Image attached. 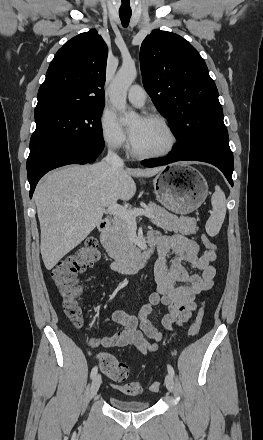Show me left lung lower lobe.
Listing matches in <instances>:
<instances>
[{"label": "left lung lower lobe", "instance_id": "obj_1", "mask_svg": "<svg viewBox=\"0 0 263 440\" xmlns=\"http://www.w3.org/2000/svg\"><path fill=\"white\" fill-rule=\"evenodd\" d=\"M176 161H202L210 163L219 168L231 186H233L232 173L234 168L233 154L229 145H219L203 151L197 155L185 156L178 150L173 148V151L164 158L144 160L142 164L147 167H155L167 165Z\"/></svg>", "mask_w": 263, "mask_h": 440}]
</instances>
